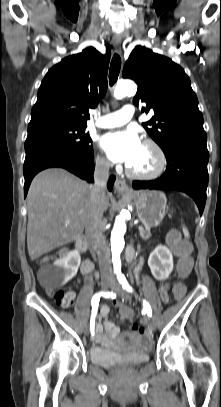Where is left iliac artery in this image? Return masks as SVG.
Returning <instances> with one entry per match:
<instances>
[{"mask_svg": "<svg viewBox=\"0 0 221 407\" xmlns=\"http://www.w3.org/2000/svg\"><path fill=\"white\" fill-rule=\"evenodd\" d=\"M120 282L122 284L123 289H125L129 293L134 292L133 288L129 285L128 281L125 278H122ZM143 306H144V311L147 313V315L149 317H151L152 316V310H151V307H150L149 303L144 300L143 301Z\"/></svg>", "mask_w": 221, "mask_h": 407, "instance_id": "1", "label": "left iliac artery"}]
</instances>
